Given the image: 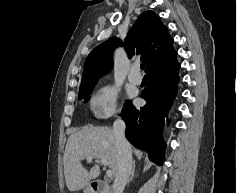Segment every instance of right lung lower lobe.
<instances>
[{
  "instance_id": "98d812e1",
  "label": "right lung lower lobe",
  "mask_w": 237,
  "mask_h": 193,
  "mask_svg": "<svg viewBox=\"0 0 237 193\" xmlns=\"http://www.w3.org/2000/svg\"><path fill=\"white\" fill-rule=\"evenodd\" d=\"M177 52L151 65L147 70L149 85L143 90L141 97L146 105L136 108L128 101L121 116L126 122V138L138 149L148 152L149 159L161 165L165 143L162 131L164 117L170 108L176 94V84L179 80V63Z\"/></svg>"
}]
</instances>
